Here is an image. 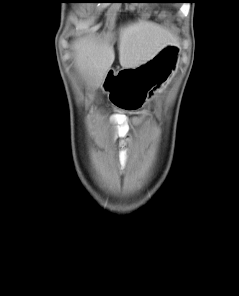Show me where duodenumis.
I'll return each mask as SVG.
<instances>
[{"instance_id": "410a0bca", "label": "duodenum", "mask_w": 239, "mask_h": 296, "mask_svg": "<svg viewBox=\"0 0 239 296\" xmlns=\"http://www.w3.org/2000/svg\"><path fill=\"white\" fill-rule=\"evenodd\" d=\"M115 71H110L109 72V78H111V79H113L114 78V76H115Z\"/></svg>"}]
</instances>
